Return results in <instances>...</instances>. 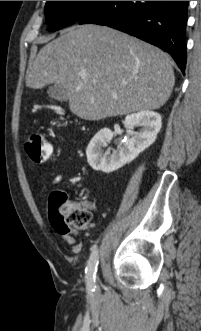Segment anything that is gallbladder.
<instances>
[{"instance_id":"obj_1","label":"gallbladder","mask_w":201,"mask_h":331,"mask_svg":"<svg viewBox=\"0 0 201 331\" xmlns=\"http://www.w3.org/2000/svg\"><path fill=\"white\" fill-rule=\"evenodd\" d=\"M47 94L49 97L58 100V101H66L67 93L64 87L60 84H53L47 90Z\"/></svg>"}]
</instances>
